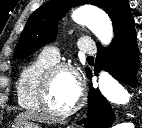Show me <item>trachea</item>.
I'll use <instances>...</instances> for the list:
<instances>
[{
	"mask_svg": "<svg viewBox=\"0 0 142 128\" xmlns=\"http://www.w3.org/2000/svg\"><path fill=\"white\" fill-rule=\"evenodd\" d=\"M87 59H93V57L92 56H88Z\"/></svg>",
	"mask_w": 142,
	"mask_h": 128,
	"instance_id": "3493384b",
	"label": "trachea"
}]
</instances>
